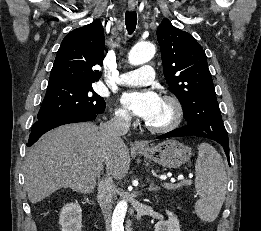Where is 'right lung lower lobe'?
<instances>
[{
	"instance_id": "right-lung-lower-lobe-1",
	"label": "right lung lower lobe",
	"mask_w": 261,
	"mask_h": 231,
	"mask_svg": "<svg viewBox=\"0 0 261 231\" xmlns=\"http://www.w3.org/2000/svg\"><path fill=\"white\" fill-rule=\"evenodd\" d=\"M104 112V111H103ZM103 112H73L58 115L33 124L27 146L33 145L47 131L68 123L85 122L94 120Z\"/></svg>"
}]
</instances>
